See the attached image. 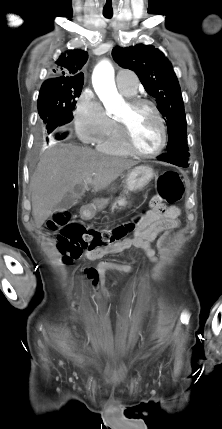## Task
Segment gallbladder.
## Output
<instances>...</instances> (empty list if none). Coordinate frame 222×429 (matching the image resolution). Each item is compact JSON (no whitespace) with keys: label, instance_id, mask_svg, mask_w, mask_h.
<instances>
[{"label":"gallbladder","instance_id":"obj_1","mask_svg":"<svg viewBox=\"0 0 222 429\" xmlns=\"http://www.w3.org/2000/svg\"><path fill=\"white\" fill-rule=\"evenodd\" d=\"M77 204V199L71 194H66L63 199L55 206L54 211H66Z\"/></svg>","mask_w":222,"mask_h":429}]
</instances>
